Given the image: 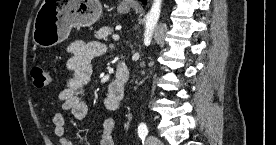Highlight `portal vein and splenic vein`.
I'll use <instances>...</instances> for the list:
<instances>
[{"label":"portal vein and splenic vein","mask_w":276,"mask_h":145,"mask_svg":"<svg viewBox=\"0 0 276 145\" xmlns=\"http://www.w3.org/2000/svg\"><path fill=\"white\" fill-rule=\"evenodd\" d=\"M112 39L115 40V41H118L119 40V35H117V34L113 35Z\"/></svg>","instance_id":"obj_1"}]
</instances>
